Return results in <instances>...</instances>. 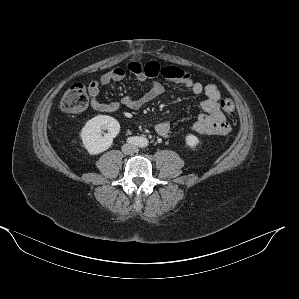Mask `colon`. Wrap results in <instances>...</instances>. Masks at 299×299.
<instances>
[{"instance_id":"colon-1","label":"colon","mask_w":299,"mask_h":299,"mask_svg":"<svg viewBox=\"0 0 299 299\" xmlns=\"http://www.w3.org/2000/svg\"><path fill=\"white\" fill-rule=\"evenodd\" d=\"M89 89L80 82L73 83L66 91L60 102V108L64 113L74 114L83 111L89 104ZM222 110L232 115L235 111V103L231 97L221 101Z\"/></svg>"}]
</instances>
